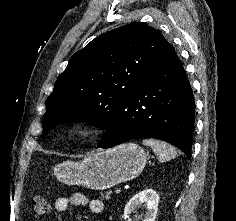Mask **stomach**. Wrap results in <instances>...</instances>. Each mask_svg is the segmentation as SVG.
<instances>
[{"instance_id": "0dacf381", "label": "stomach", "mask_w": 236, "mask_h": 221, "mask_svg": "<svg viewBox=\"0 0 236 221\" xmlns=\"http://www.w3.org/2000/svg\"><path fill=\"white\" fill-rule=\"evenodd\" d=\"M147 154L135 143H125L88 155L82 161H64L54 175L67 185L104 190L136 178L144 169Z\"/></svg>"}]
</instances>
